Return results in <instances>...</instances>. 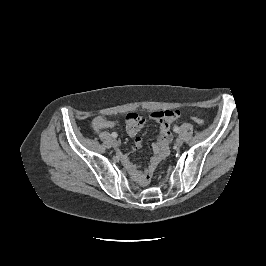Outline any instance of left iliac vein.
<instances>
[{"instance_id": "4c4485c4", "label": "left iliac vein", "mask_w": 266, "mask_h": 266, "mask_svg": "<svg viewBox=\"0 0 266 266\" xmlns=\"http://www.w3.org/2000/svg\"><path fill=\"white\" fill-rule=\"evenodd\" d=\"M183 144V139L181 137H178L176 139V146L180 147Z\"/></svg>"}]
</instances>
